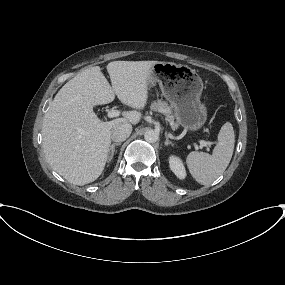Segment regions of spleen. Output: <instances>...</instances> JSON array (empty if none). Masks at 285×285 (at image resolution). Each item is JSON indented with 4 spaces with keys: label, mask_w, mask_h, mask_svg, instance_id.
I'll use <instances>...</instances> for the list:
<instances>
[{
    "label": "spleen",
    "mask_w": 285,
    "mask_h": 285,
    "mask_svg": "<svg viewBox=\"0 0 285 285\" xmlns=\"http://www.w3.org/2000/svg\"><path fill=\"white\" fill-rule=\"evenodd\" d=\"M235 145L234 129L226 122L218 133V143L212 155L205 152H191L186 158L187 167L192 177L202 185L211 184L227 168Z\"/></svg>",
    "instance_id": "obj_1"
}]
</instances>
